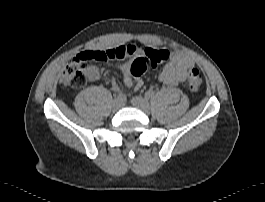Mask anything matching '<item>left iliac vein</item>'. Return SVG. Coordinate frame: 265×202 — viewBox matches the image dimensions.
Masks as SVG:
<instances>
[{
	"label": "left iliac vein",
	"mask_w": 265,
	"mask_h": 202,
	"mask_svg": "<svg viewBox=\"0 0 265 202\" xmlns=\"http://www.w3.org/2000/svg\"><path fill=\"white\" fill-rule=\"evenodd\" d=\"M132 104L142 110L144 113L149 114L150 113V104L146 98H143L141 96H134L132 98Z\"/></svg>",
	"instance_id": "obj_1"
}]
</instances>
